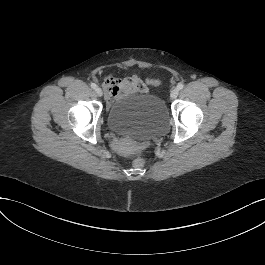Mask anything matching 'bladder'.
Masks as SVG:
<instances>
[{
    "label": "bladder",
    "instance_id": "1",
    "mask_svg": "<svg viewBox=\"0 0 265 265\" xmlns=\"http://www.w3.org/2000/svg\"><path fill=\"white\" fill-rule=\"evenodd\" d=\"M168 119L163 100L151 94L124 96L107 112V127L122 136L140 138L162 132Z\"/></svg>",
    "mask_w": 265,
    "mask_h": 265
}]
</instances>
